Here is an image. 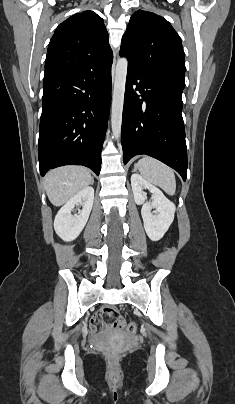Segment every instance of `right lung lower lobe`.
I'll return each instance as SVG.
<instances>
[{
    "label": "right lung lower lobe",
    "instance_id": "obj_1",
    "mask_svg": "<svg viewBox=\"0 0 235 404\" xmlns=\"http://www.w3.org/2000/svg\"><path fill=\"white\" fill-rule=\"evenodd\" d=\"M111 65L44 79L38 144L41 176L63 165H84L99 175Z\"/></svg>",
    "mask_w": 235,
    "mask_h": 404
}]
</instances>
